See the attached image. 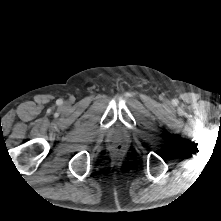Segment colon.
I'll return each mask as SVG.
<instances>
[{"label": "colon", "mask_w": 221, "mask_h": 221, "mask_svg": "<svg viewBox=\"0 0 221 221\" xmlns=\"http://www.w3.org/2000/svg\"><path fill=\"white\" fill-rule=\"evenodd\" d=\"M113 149H114L115 152H120L122 150V146L121 145H116V146H114Z\"/></svg>", "instance_id": "colon-1"}]
</instances>
